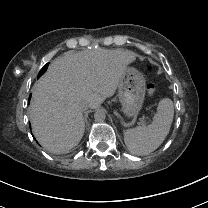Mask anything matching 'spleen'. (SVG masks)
<instances>
[{
  "mask_svg": "<svg viewBox=\"0 0 208 208\" xmlns=\"http://www.w3.org/2000/svg\"><path fill=\"white\" fill-rule=\"evenodd\" d=\"M174 106L169 98H163L154 114L151 123L127 129L124 142L127 149L135 155H146L156 150L165 140L173 120Z\"/></svg>",
  "mask_w": 208,
  "mask_h": 208,
  "instance_id": "obj_1",
  "label": "spleen"
}]
</instances>
